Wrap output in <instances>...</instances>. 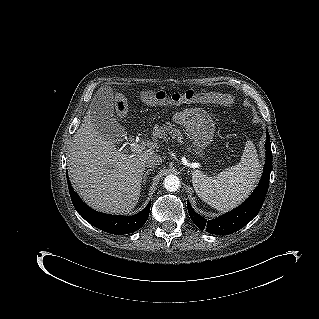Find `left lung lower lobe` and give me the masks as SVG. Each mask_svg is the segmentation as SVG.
<instances>
[{"mask_svg": "<svg viewBox=\"0 0 319 319\" xmlns=\"http://www.w3.org/2000/svg\"><path fill=\"white\" fill-rule=\"evenodd\" d=\"M266 138V163L261 181L244 203L216 219L206 220L197 214L190 203L187 202L189 215L199 229L215 235H228L243 228L257 215L267 193L272 166V152L268 132H266Z\"/></svg>", "mask_w": 319, "mask_h": 319, "instance_id": "obj_1", "label": "left lung lower lobe"}]
</instances>
